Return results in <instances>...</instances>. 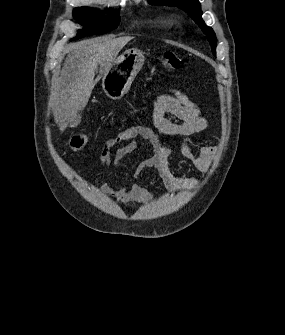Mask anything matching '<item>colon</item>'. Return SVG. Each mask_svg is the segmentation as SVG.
<instances>
[{"mask_svg":"<svg viewBox=\"0 0 285 335\" xmlns=\"http://www.w3.org/2000/svg\"><path fill=\"white\" fill-rule=\"evenodd\" d=\"M158 65L161 72L178 70L183 67L184 61L173 52H164L158 57ZM88 142V136L85 133L78 132L73 135L70 141V148L77 152L81 150Z\"/></svg>","mask_w":285,"mask_h":335,"instance_id":"1","label":"colon"}]
</instances>
